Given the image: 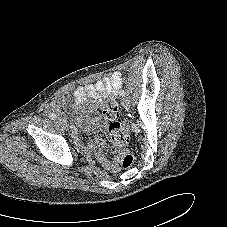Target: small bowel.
<instances>
[{
    "instance_id": "obj_1",
    "label": "small bowel",
    "mask_w": 227,
    "mask_h": 227,
    "mask_svg": "<svg viewBox=\"0 0 227 227\" xmlns=\"http://www.w3.org/2000/svg\"><path fill=\"white\" fill-rule=\"evenodd\" d=\"M122 85V75L120 72H112L105 76L104 78L96 81L95 83H89L86 85L77 86L73 91V96L76 103H82L87 98L93 99L101 104L104 103L105 99L109 95H115L118 89ZM64 102V98L57 97L50 104L47 111L54 112L58 111L59 106ZM72 136L75 140L79 139L78 132L75 128H72ZM96 145L99 148V151H102L105 147V143L102 139H97L95 141ZM99 158L102 164L112 170L118 171V165L115 162H110L106 158H104L101 154Z\"/></svg>"
}]
</instances>
